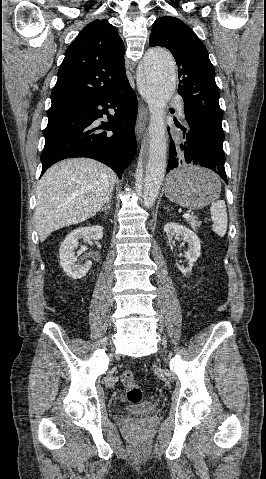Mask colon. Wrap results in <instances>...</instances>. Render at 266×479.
<instances>
[{"label": "colon", "mask_w": 266, "mask_h": 479, "mask_svg": "<svg viewBox=\"0 0 266 479\" xmlns=\"http://www.w3.org/2000/svg\"><path fill=\"white\" fill-rule=\"evenodd\" d=\"M121 380L127 390V399L131 403H138L142 400V390L136 384L134 375L131 371H124L121 375Z\"/></svg>", "instance_id": "obj_1"}]
</instances>
